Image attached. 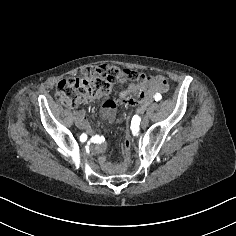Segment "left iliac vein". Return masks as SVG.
<instances>
[{
  "mask_svg": "<svg viewBox=\"0 0 236 236\" xmlns=\"http://www.w3.org/2000/svg\"><path fill=\"white\" fill-rule=\"evenodd\" d=\"M147 116L145 115L143 118H142V121H141V126H143V127H146L147 126Z\"/></svg>",
  "mask_w": 236,
  "mask_h": 236,
  "instance_id": "4c4485c4",
  "label": "left iliac vein"
}]
</instances>
